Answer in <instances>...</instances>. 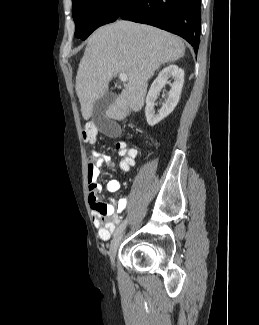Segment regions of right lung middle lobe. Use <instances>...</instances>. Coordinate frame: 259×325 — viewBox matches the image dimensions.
Returning <instances> with one entry per match:
<instances>
[{
	"instance_id": "dd1d6c3e",
	"label": "right lung middle lobe",
	"mask_w": 259,
	"mask_h": 325,
	"mask_svg": "<svg viewBox=\"0 0 259 325\" xmlns=\"http://www.w3.org/2000/svg\"><path fill=\"white\" fill-rule=\"evenodd\" d=\"M127 0H72L75 36L85 40L98 27L113 22Z\"/></svg>"
}]
</instances>
